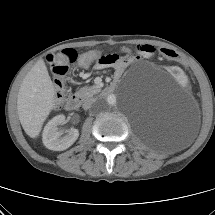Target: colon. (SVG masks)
<instances>
[{
	"label": "colon",
	"instance_id": "5ec220e1",
	"mask_svg": "<svg viewBox=\"0 0 215 215\" xmlns=\"http://www.w3.org/2000/svg\"><path fill=\"white\" fill-rule=\"evenodd\" d=\"M159 54L166 60L177 61L179 64H185L184 69L186 71L191 69V65L188 63V58L182 57L172 49L160 48ZM96 55V52L89 51L79 57L78 53L74 49H65L59 53H52L48 55L47 62L55 75L54 84L58 103L63 100L65 95L66 84L64 76L68 71L69 64L74 63L77 59H79L80 64L88 65L96 57Z\"/></svg>",
	"mask_w": 215,
	"mask_h": 215
}]
</instances>
